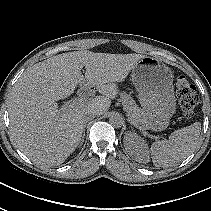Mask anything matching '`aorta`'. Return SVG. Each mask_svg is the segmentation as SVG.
I'll return each instance as SVG.
<instances>
[{
    "mask_svg": "<svg viewBox=\"0 0 211 211\" xmlns=\"http://www.w3.org/2000/svg\"><path fill=\"white\" fill-rule=\"evenodd\" d=\"M109 122L114 127H121V125L123 124V119L119 114L116 113L111 115V117L109 118Z\"/></svg>",
    "mask_w": 211,
    "mask_h": 211,
    "instance_id": "1",
    "label": "aorta"
}]
</instances>
